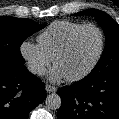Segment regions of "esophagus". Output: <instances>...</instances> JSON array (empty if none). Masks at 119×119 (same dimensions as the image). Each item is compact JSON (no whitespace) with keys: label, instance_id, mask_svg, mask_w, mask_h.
I'll return each instance as SVG.
<instances>
[{"label":"esophagus","instance_id":"34e87169","mask_svg":"<svg viewBox=\"0 0 119 119\" xmlns=\"http://www.w3.org/2000/svg\"><path fill=\"white\" fill-rule=\"evenodd\" d=\"M45 89H46V91H47L48 93L56 92V91H57V88H56L55 86H52V85H49V84H47V85L45 86Z\"/></svg>","mask_w":119,"mask_h":119}]
</instances>
